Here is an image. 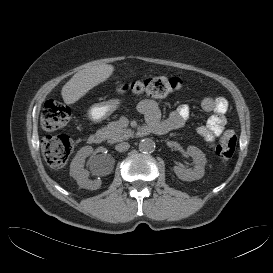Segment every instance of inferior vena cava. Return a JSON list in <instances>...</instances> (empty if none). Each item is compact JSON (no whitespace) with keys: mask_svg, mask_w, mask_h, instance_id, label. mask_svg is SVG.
<instances>
[{"mask_svg":"<svg viewBox=\"0 0 273 273\" xmlns=\"http://www.w3.org/2000/svg\"><path fill=\"white\" fill-rule=\"evenodd\" d=\"M130 148V145L128 142H122L115 146V149L119 152L127 151Z\"/></svg>","mask_w":273,"mask_h":273,"instance_id":"1","label":"inferior vena cava"}]
</instances>
